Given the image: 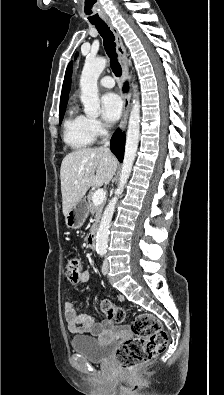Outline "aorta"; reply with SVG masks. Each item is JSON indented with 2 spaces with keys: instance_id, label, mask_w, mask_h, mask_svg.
<instances>
[{
  "instance_id": "762f6f07",
  "label": "aorta",
  "mask_w": 224,
  "mask_h": 395,
  "mask_svg": "<svg viewBox=\"0 0 224 395\" xmlns=\"http://www.w3.org/2000/svg\"><path fill=\"white\" fill-rule=\"evenodd\" d=\"M107 60L104 57L87 59L80 77L81 101L84 105V112L91 117H97L100 111L97 81L105 69ZM140 137V102L135 91L132 101V109L129 116L128 129L126 134L125 153L122 163V170L119 184L115 191V196L109 201L96 236L97 252L104 253L108 247L109 228L115 205L118 198L123 193L124 187L129 179L135 161Z\"/></svg>"
}]
</instances>
